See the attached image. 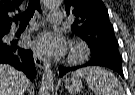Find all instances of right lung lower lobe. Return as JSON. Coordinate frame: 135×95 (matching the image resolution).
Instances as JSON below:
<instances>
[{
	"label": "right lung lower lobe",
	"instance_id": "98d812e1",
	"mask_svg": "<svg viewBox=\"0 0 135 95\" xmlns=\"http://www.w3.org/2000/svg\"><path fill=\"white\" fill-rule=\"evenodd\" d=\"M9 31L10 29L0 31V63L12 65L19 71H23L30 80H33L36 69L32 51L18 47L17 40L6 41L3 39Z\"/></svg>",
	"mask_w": 135,
	"mask_h": 95
}]
</instances>
